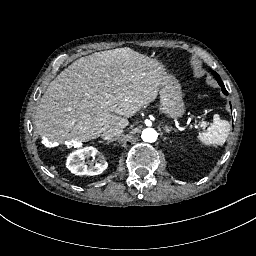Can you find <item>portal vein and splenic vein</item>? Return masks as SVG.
I'll return each mask as SVG.
<instances>
[{
  "label": "portal vein and splenic vein",
  "instance_id": "obj_1",
  "mask_svg": "<svg viewBox=\"0 0 256 256\" xmlns=\"http://www.w3.org/2000/svg\"><path fill=\"white\" fill-rule=\"evenodd\" d=\"M191 128L194 129V130L199 131V133H202V130H203V127H202V126H198V125H196V124H192V125H191Z\"/></svg>",
  "mask_w": 256,
  "mask_h": 256
}]
</instances>
